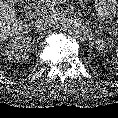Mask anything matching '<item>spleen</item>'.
<instances>
[{"mask_svg":"<svg viewBox=\"0 0 118 118\" xmlns=\"http://www.w3.org/2000/svg\"><path fill=\"white\" fill-rule=\"evenodd\" d=\"M116 55H117V57H118V48L116 49Z\"/></svg>","mask_w":118,"mask_h":118,"instance_id":"1","label":"spleen"}]
</instances>
